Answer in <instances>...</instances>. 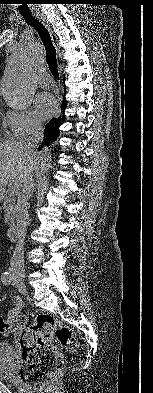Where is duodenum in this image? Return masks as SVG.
<instances>
[{
    "instance_id": "1",
    "label": "duodenum",
    "mask_w": 153,
    "mask_h": 393,
    "mask_svg": "<svg viewBox=\"0 0 153 393\" xmlns=\"http://www.w3.org/2000/svg\"><path fill=\"white\" fill-rule=\"evenodd\" d=\"M8 236L10 239L12 240H16L18 237V227L16 225V223H12L9 228H8Z\"/></svg>"
}]
</instances>
